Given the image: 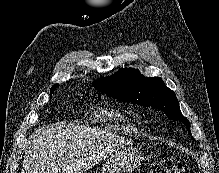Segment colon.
I'll list each match as a JSON object with an SVG mask.
<instances>
[{
    "mask_svg": "<svg viewBox=\"0 0 219 173\" xmlns=\"http://www.w3.org/2000/svg\"><path fill=\"white\" fill-rule=\"evenodd\" d=\"M152 173H186V171L181 160L165 159L154 163Z\"/></svg>",
    "mask_w": 219,
    "mask_h": 173,
    "instance_id": "1",
    "label": "colon"
}]
</instances>
